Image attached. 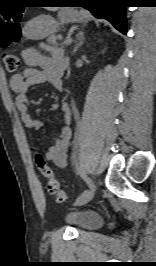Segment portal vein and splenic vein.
Segmentation results:
<instances>
[{
    "mask_svg": "<svg viewBox=\"0 0 156 266\" xmlns=\"http://www.w3.org/2000/svg\"><path fill=\"white\" fill-rule=\"evenodd\" d=\"M72 43V39L71 38H68L65 42L66 45H70Z\"/></svg>",
    "mask_w": 156,
    "mask_h": 266,
    "instance_id": "1",
    "label": "portal vein and splenic vein"
}]
</instances>
